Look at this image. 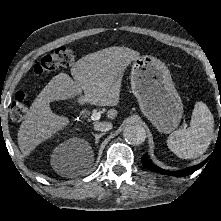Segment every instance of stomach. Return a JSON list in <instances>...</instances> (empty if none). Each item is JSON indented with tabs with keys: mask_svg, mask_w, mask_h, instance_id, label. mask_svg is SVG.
<instances>
[{
	"mask_svg": "<svg viewBox=\"0 0 221 221\" xmlns=\"http://www.w3.org/2000/svg\"><path fill=\"white\" fill-rule=\"evenodd\" d=\"M131 89L141 112L161 133L178 127L183 104L168 67L156 57L140 56L133 61Z\"/></svg>",
	"mask_w": 221,
	"mask_h": 221,
	"instance_id": "stomach-1",
	"label": "stomach"
}]
</instances>
